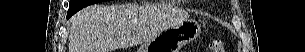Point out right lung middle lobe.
<instances>
[{"label": "right lung middle lobe", "instance_id": "right-lung-middle-lobe-1", "mask_svg": "<svg viewBox=\"0 0 305 52\" xmlns=\"http://www.w3.org/2000/svg\"><path fill=\"white\" fill-rule=\"evenodd\" d=\"M103 1H107V0H70L69 10L76 13L77 11H79L80 9H82L88 5L103 2Z\"/></svg>", "mask_w": 305, "mask_h": 52}]
</instances>
